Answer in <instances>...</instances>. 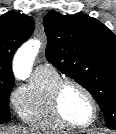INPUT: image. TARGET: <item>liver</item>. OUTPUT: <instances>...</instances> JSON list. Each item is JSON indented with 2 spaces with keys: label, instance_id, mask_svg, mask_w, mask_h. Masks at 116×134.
<instances>
[{
  "label": "liver",
  "instance_id": "liver-1",
  "mask_svg": "<svg viewBox=\"0 0 116 134\" xmlns=\"http://www.w3.org/2000/svg\"><path fill=\"white\" fill-rule=\"evenodd\" d=\"M0 134H32V133L27 129H20L15 127L10 128L0 127Z\"/></svg>",
  "mask_w": 116,
  "mask_h": 134
}]
</instances>
